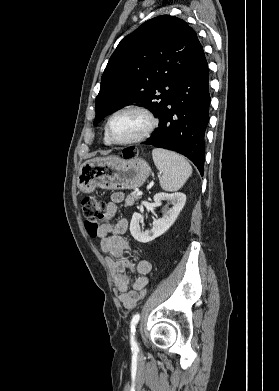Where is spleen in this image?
<instances>
[{"label": "spleen", "mask_w": 279, "mask_h": 391, "mask_svg": "<svg viewBox=\"0 0 279 391\" xmlns=\"http://www.w3.org/2000/svg\"><path fill=\"white\" fill-rule=\"evenodd\" d=\"M153 161L161 173L160 186L165 191H177L192 174V167L181 155L162 148L152 150Z\"/></svg>", "instance_id": "1"}]
</instances>
